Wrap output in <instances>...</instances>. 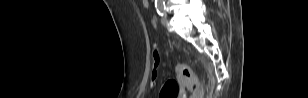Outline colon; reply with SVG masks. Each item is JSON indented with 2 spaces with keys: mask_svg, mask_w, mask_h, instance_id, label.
<instances>
[{
  "mask_svg": "<svg viewBox=\"0 0 308 98\" xmlns=\"http://www.w3.org/2000/svg\"><path fill=\"white\" fill-rule=\"evenodd\" d=\"M153 59H154V70L152 73V81L156 79V67L158 66L159 63V54L157 51L154 52L153 54ZM176 72L177 74L182 78L184 81L187 89L190 92V97L191 98H201L202 97V89L201 85L189 67L186 63H178L176 65ZM178 96V84L174 80H167L163 84L159 97L160 98H177Z\"/></svg>",
  "mask_w": 308,
  "mask_h": 98,
  "instance_id": "colon-1",
  "label": "colon"
}]
</instances>
